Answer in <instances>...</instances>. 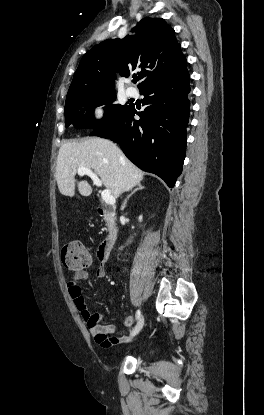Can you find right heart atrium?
Listing matches in <instances>:
<instances>
[{"instance_id":"obj_1","label":"right heart atrium","mask_w":264,"mask_h":415,"mask_svg":"<svg viewBox=\"0 0 264 415\" xmlns=\"http://www.w3.org/2000/svg\"><path fill=\"white\" fill-rule=\"evenodd\" d=\"M106 114V106L103 103L95 104L92 108V115L97 120H102Z\"/></svg>"}]
</instances>
